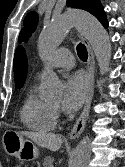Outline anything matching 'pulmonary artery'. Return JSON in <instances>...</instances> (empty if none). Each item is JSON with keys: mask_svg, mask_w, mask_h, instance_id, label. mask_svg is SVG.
<instances>
[{"mask_svg": "<svg viewBox=\"0 0 125 167\" xmlns=\"http://www.w3.org/2000/svg\"><path fill=\"white\" fill-rule=\"evenodd\" d=\"M73 64V55L66 48L58 49L49 60V66L52 68L69 69L73 67Z\"/></svg>", "mask_w": 125, "mask_h": 167, "instance_id": "1", "label": "pulmonary artery"}]
</instances>
